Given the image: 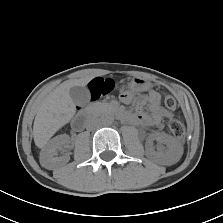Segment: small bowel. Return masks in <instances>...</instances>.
Here are the masks:
<instances>
[{
    "label": "small bowel",
    "mask_w": 223,
    "mask_h": 223,
    "mask_svg": "<svg viewBox=\"0 0 223 223\" xmlns=\"http://www.w3.org/2000/svg\"><path fill=\"white\" fill-rule=\"evenodd\" d=\"M101 95H97L99 98ZM96 98V99H97ZM132 97L129 94H123L121 100L124 103H129ZM160 94L154 90L148 91L142 98L141 106H147L150 114L140 112L136 115H128L127 121L133 124H140L145 127H160L164 117L169 116L160 104Z\"/></svg>",
    "instance_id": "small-bowel-1"
}]
</instances>
